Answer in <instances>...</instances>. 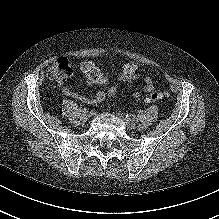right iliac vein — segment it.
<instances>
[{
	"label": "right iliac vein",
	"instance_id": "right-iliac-vein-1",
	"mask_svg": "<svg viewBox=\"0 0 219 219\" xmlns=\"http://www.w3.org/2000/svg\"><path fill=\"white\" fill-rule=\"evenodd\" d=\"M89 119H90V114H88V113L82 114V116H81V120H82V121L86 122V121H88Z\"/></svg>",
	"mask_w": 219,
	"mask_h": 219
}]
</instances>
